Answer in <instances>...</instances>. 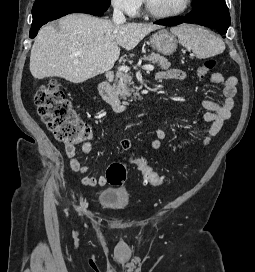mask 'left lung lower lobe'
<instances>
[{
  "label": "left lung lower lobe",
  "mask_w": 255,
  "mask_h": 272,
  "mask_svg": "<svg viewBox=\"0 0 255 272\" xmlns=\"http://www.w3.org/2000/svg\"><path fill=\"white\" fill-rule=\"evenodd\" d=\"M183 22L215 28L223 35L226 34L230 25V14L224 0H204L194 6L193 10L185 17L160 20L155 24L175 26Z\"/></svg>",
  "instance_id": "0a47b994"
}]
</instances>
